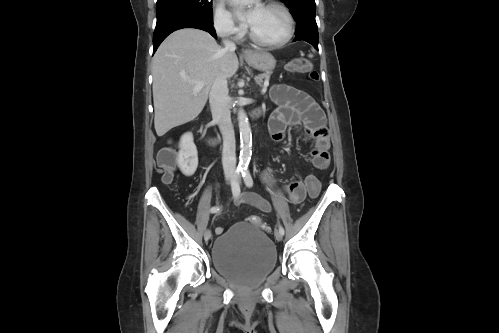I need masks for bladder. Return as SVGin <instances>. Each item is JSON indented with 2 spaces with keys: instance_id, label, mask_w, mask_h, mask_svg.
I'll return each mask as SVG.
<instances>
[{
  "instance_id": "1",
  "label": "bladder",
  "mask_w": 499,
  "mask_h": 333,
  "mask_svg": "<svg viewBox=\"0 0 499 333\" xmlns=\"http://www.w3.org/2000/svg\"><path fill=\"white\" fill-rule=\"evenodd\" d=\"M213 267L243 287L264 280L277 266V250L258 226L237 222L218 236L212 250Z\"/></svg>"
}]
</instances>
